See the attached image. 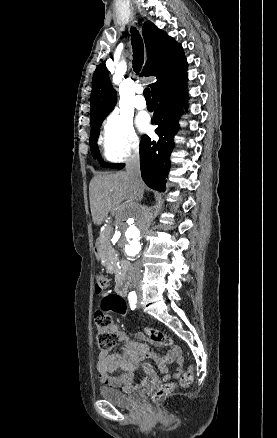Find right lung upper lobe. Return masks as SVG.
Wrapping results in <instances>:
<instances>
[{
  "mask_svg": "<svg viewBox=\"0 0 277 438\" xmlns=\"http://www.w3.org/2000/svg\"><path fill=\"white\" fill-rule=\"evenodd\" d=\"M148 60L143 76H156L150 84L151 92L187 69L183 48L164 31L147 21L142 27ZM117 94L112 88L104 63L97 66L92 80L90 123L103 121L116 104Z\"/></svg>",
  "mask_w": 277,
  "mask_h": 438,
  "instance_id": "cb5924a9",
  "label": "right lung upper lobe"
}]
</instances>
